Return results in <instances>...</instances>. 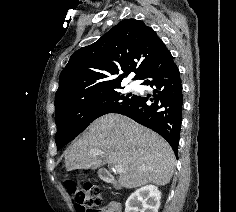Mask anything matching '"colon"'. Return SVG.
<instances>
[{"mask_svg":"<svg viewBox=\"0 0 236 212\" xmlns=\"http://www.w3.org/2000/svg\"><path fill=\"white\" fill-rule=\"evenodd\" d=\"M67 189L74 196L78 212H101V189L91 181L66 182Z\"/></svg>","mask_w":236,"mask_h":212,"instance_id":"5ec220e1","label":"colon"}]
</instances>
